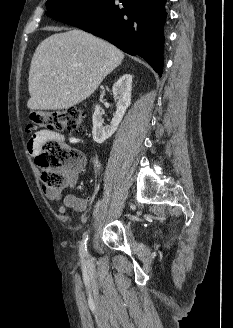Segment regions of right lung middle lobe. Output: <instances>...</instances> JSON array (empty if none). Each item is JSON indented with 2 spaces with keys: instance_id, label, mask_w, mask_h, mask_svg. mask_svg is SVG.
Segmentation results:
<instances>
[{
  "instance_id": "obj_1",
  "label": "right lung middle lobe",
  "mask_w": 233,
  "mask_h": 328,
  "mask_svg": "<svg viewBox=\"0 0 233 328\" xmlns=\"http://www.w3.org/2000/svg\"><path fill=\"white\" fill-rule=\"evenodd\" d=\"M100 0H48L46 14L60 20L74 12L83 10Z\"/></svg>"
}]
</instances>
